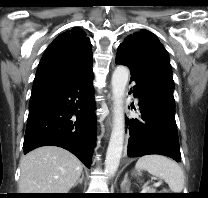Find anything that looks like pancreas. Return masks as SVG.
<instances>
[{"label": "pancreas", "mask_w": 208, "mask_h": 198, "mask_svg": "<svg viewBox=\"0 0 208 198\" xmlns=\"http://www.w3.org/2000/svg\"><path fill=\"white\" fill-rule=\"evenodd\" d=\"M148 193H155V189H148Z\"/></svg>", "instance_id": "obj_1"}]
</instances>
